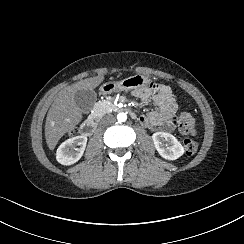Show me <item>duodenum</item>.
<instances>
[{"label": "duodenum", "mask_w": 244, "mask_h": 244, "mask_svg": "<svg viewBox=\"0 0 244 244\" xmlns=\"http://www.w3.org/2000/svg\"><path fill=\"white\" fill-rule=\"evenodd\" d=\"M132 118L137 119V114L129 108L124 109ZM99 120L97 113L91 114L80 126V133L83 136H90L94 133Z\"/></svg>", "instance_id": "obj_1"}]
</instances>
